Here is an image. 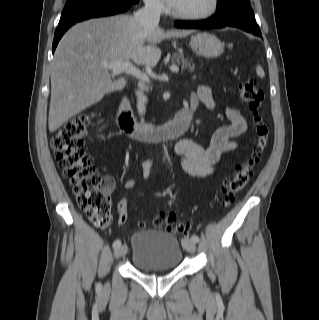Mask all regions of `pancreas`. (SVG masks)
<instances>
[{
  "label": "pancreas",
  "instance_id": "1",
  "mask_svg": "<svg viewBox=\"0 0 319 320\" xmlns=\"http://www.w3.org/2000/svg\"><path fill=\"white\" fill-rule=\"evenodd\" d=\"M172 65L182 64V68H188L190 72L195 70V65L192 63V60L186 59L181 53H174L171 59Z\"/></svg>",
  "mask_w": 319,
  "mask_h": 320
}]
</instances>
